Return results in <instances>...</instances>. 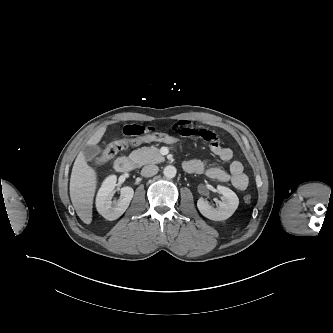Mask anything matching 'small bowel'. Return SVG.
Listing matches in <instances>:
<instances>
[{
    "instance_id": "small-bowel-1",
    "label": "small bowel",
    "mask_w": 333,
    "mask_h": 333,
    "mask_svg": "<svg viewBox=\"0 0 333 333\" xmlns=\"http://www.w3.org/2000/svg\"><path fill=\"white\" fill-rule=\"evenodd\" d=\"M170 130L183 137H200L209 144L211 152L222 161H230L233 158V152L230 148L223 146L217 134L204 127L203 125L191 121H178L174 123ZM155 127L141 124H128L123 127V132L127 136L138 137L141 135L153 133ZM184 168L190 173L205 174L207 177L221 182H231L237 190H245L249 179L244 172L243 164L234 160L231 162L229 170L220 167L208 166L204 161L191 159L184 163Z\"/></svg>"
}]
</instances>
